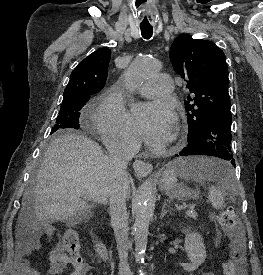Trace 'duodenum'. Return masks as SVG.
<instances>
[{
    "instance_id": "1",
    "label": "duodenum",
    "mask_w": 263,
    "mask_h": 275,
    "mask_svg": "<svg viewBox=\"0 0 263 275\" xmlns=\"http://www.w3.org/2000/svg\"><path fill=\"white\" fill-rule=\"evenodd\" d=\"M94 245L95 250L100 256H102L105 259L109 257L108 247L97 231L94 233Z\"/></svg>"
}]
</instances>
